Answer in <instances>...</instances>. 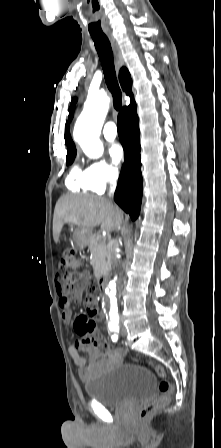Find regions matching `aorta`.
I'll list each match as a JSON object with an SVG mask.
<instances>
[{
    "mask_svg": "<svg viewBox=\"0 0 221 448\" xmlns=\"http://www.w3.org/2000/svg\"><path fill=\"white\" fill-rule=\"evenodd\" d=\"M109 103L110 99L105 93L89 96L75 123L74 139L90 158H99L103 154L104 147L99 135L109 109ZM115 295L116 284L113 280L110 291L111 309L114 308Z\"/></svg>",
    "mask_w": 221,
    "mask_h": 448,
    "instance_id": "obj_1",
    "label": "aorta"
}]
</instances>
